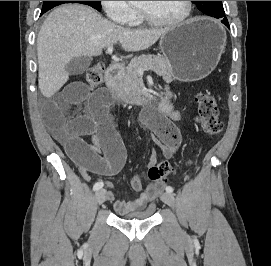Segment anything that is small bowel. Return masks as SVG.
Here are the masks:
<instances>
[{
    "label": "small bowel",
    "instance_id": "c3829d8e",
    "mask_svg": "<svg viewBox=\"0 0 271 266\" xmlns=\"http://www.w3.org/2000/svg\"><path fill=\"white\" fill-rule=\"evenodd\" d=\"M84 69L83 61L70 64L68 72L71 75L79 74ZM172 92L165 89L164 96L159 102V116L151 119L147 125L154 135L162 142L166 157H172L181 144V135L174 125L180 119V114L174 109ZM89 101V108L85 115L71 121L65 118L66 110L83 100ZM112 99L109 94L100 90L89 93L82 82H71L63 86L50 100L43 104V114L46 124L52 129L55 137L65 147L67 153L76 163L83 177L88 180L90 174L115 175L123 167L126 159L124 144L114 128L110 111ZM197 122L201 121L196 117ZM84 136L92 139L87 144ZM154 158L151 159V164ZM130 185L139 196L131 201L115 200L114 185L108 183L106 199L113 203L114 210L125 215L133 211L144 209L163 190V183H154L143 187L141 179L133 176Z\"/></svg>",
    "mask_w": 271,
    "mask_h": 266
}]
</instances>
